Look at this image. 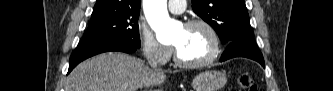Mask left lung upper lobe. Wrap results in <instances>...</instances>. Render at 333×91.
Instances as JSON below:
<instances>
[{"mask_svg":"<svg viewBox=\"0 0 333 91\" xmlns=\"http://www.w3.org/2000/svg\"><path fill=\"white\" fill-rule=\"evenodd\" d=\"M192 8L214 28L223 44L253 36L244 0H192Z\"/></svg>","mask_w":333,"mask_h":91,"instance_id":"obj_1","label":"left lung upper lobe"}]
</instances>
